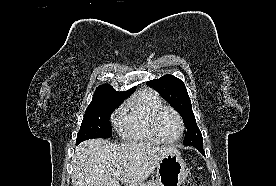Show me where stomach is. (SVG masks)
<instances>
[{
    "instance_id": "1",
    "label": "stomach",
    "mask_w": 276,
    "mask_h": 186,
    "mask_svg": "<svg viewBox=\"0 0 276 186\" xmlns=\"http://www.w3.org/2000/svg\"><path fill=\"white\" fill-rule=\"evenodd\" d=\"M187 166L179 151L164 157L157 166L159 186H181L188 176Z\"/></svg>"
}]
</instances>
